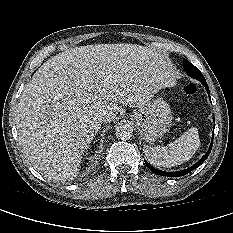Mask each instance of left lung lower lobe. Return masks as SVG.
Returning a JSON list of instances; mask_svg holds the SVG:
<instances>
[{"label":"left lung lower lobe","mask_w":233,"mask_h":233,"mask_svg":"<svg viewBox=\"0 0 233 233\" xmlns=\"http://www.w3.org/2000/svg\"><path fill=\"white\" fill-rule=\"evenodd\" d=\"M200 82L205 86V89L209 95V98H210V92H209V87L207 85V82L205 79L203 80H200ZM214 120V118H213ZM213 137H214V131H213V134H212V141H211V144H210V147L207 151V153L196 163L194 164L193 166H191L190 168L188 169H185V170H182V171H177V172H165V171H161V170H158V169H155L153 166H151L150 164H148L146 161V165L147 167L152 171L154 172L155 174L157 175H162V176H169V177H178V176H183V175H186L187 173L191 172L193 169L197 168L199 165H201L206 159L207 157L209 156L210 152H211V149H212V145H213Z\"/></svg>","instance_id":"obj_1"}]
</instances>
